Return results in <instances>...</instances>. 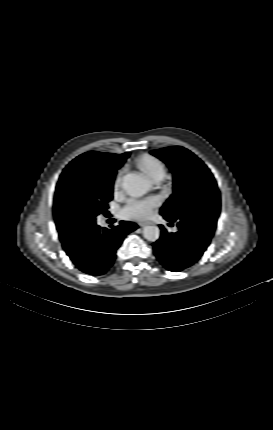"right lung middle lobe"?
Wrapping results in <instances>:
<instances>
[{
  "mask_svg": "<svg viewBox=\"0 0 273 430\" xmlns=\"http://www.w3.org/2000/svg\"><path fill=\"white\" fill-rule=\"evenodd\" d=\"M114 173H93L72 162L60 176L54 217L61 241L73 240L95 223L113 198Z\"/></svg>",
  "mask_w": 273,
  "mask_h": 430,
  "instance_id": "1",
  "label": "right lung middle lobe"
}]
</instances>
